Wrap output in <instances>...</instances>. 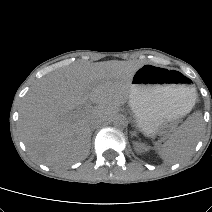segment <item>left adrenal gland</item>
<instances>
[{
  "mask_svg": "<svg viewBox=\"0 0 212 212\" xmlns=\"http://www.w3.org/2000/svg\"><path fill=\"white\" fill-rule=\"evenodd\" d=\"M132 135H136V131H133V132H132Z\"/></svg>",
  "mask_w": 212,
  "mask_h": 212,
  "instance_id": "obj_1",
  "label": "left adrenal gland"
}]
</instances>
